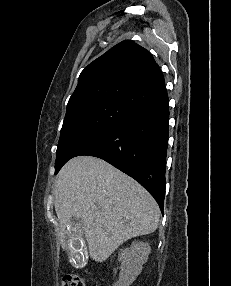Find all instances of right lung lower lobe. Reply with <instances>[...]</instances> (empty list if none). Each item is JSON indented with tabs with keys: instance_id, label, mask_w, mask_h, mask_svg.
<instances>
[{
	"instance_id": "98d812e1",
	"label": "right lung lower lobe",
	"mask_w": 231,
	"mask_h": 286,
	"mask_svg": "<svg viewBox=\"0 0 231 286\" xmlns=\"http://www.w3.org/2000/svg\"><path fill=\"white\" fill-rule=\"evenodd\" d=\"M129 108L127 116L76 156L101 158L128 174L149 191L163 211L169 120L164 81Z\"/></svg>"
}]
</instances>
